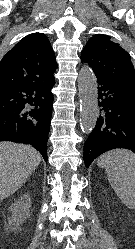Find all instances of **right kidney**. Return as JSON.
<instances>
[{"instance_id": "obj_1", "label": "right kidney", "mask_w": 135, "mask_h": 249, "mask_svg": "<svg viewBox=\"0 0 135 249\" xmlns=\"http://www.w3.org/2000/svg\"><path fill=\"white\" fill-rule=\"evenodd\" d=\"M31 199L28 195H23L10 207L12 212L9 218V228L16 231L19 225L30 216Z\"/></svg>"}]
</instances>
